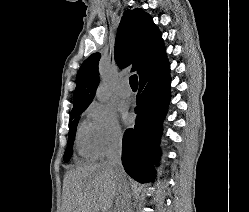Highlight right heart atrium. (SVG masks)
<instances>
[{
    "label": "right heart atrium",
    "mask_w": 249,
    "mask_h": 212,
    "mask_svg": "<svg viewBox=\"0 0 249 212\" xmlns=\"http://www.w3.org/2000/svg\"><path fill=\"white\" fill-rule=\"evenodd\" d=\"M84 114L97 158H106L121 147L123 132L115 113L109 107L93 101L86 107Z\"/></svg>",
    "instance_id": "obj_1"
}]
</instances>
